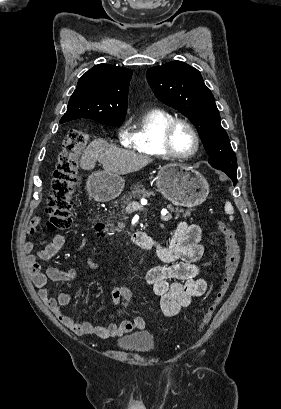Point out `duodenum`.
Returning a JSON list of instances; mask_svg holds the SVG:
<instances>
[{
	"instance_id": "1",
	"label": "duodenum",
	"mask_w": 281,
	"mask_h": 409,
	"mask_svg": "<svg viewBox=\"0 0 281 409\" xmlns=\"http://www.w3.org/2000/svg\"><path fill=\"white\" fill-rule=\"evenodd\" d=\"M104 228V222L99 220L96 222V230L100 231L101 229ZM131 239L133 244H135L136 246L144 249V250H148L150 249V240L151 238L148 237L147 235L140 233V232H136L133 233L131 235Z\"/></svg>"
}]
</instances>
